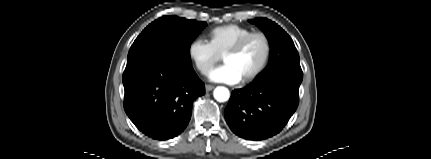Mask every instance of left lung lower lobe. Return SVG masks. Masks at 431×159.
I'll return each instance as SVG.
<instances>
[{
  "label": "left lung lower lobe",
  "mask_w": 431,
  "mask_h": 159,
  "mask_svg": "<svg viewBox=\"0 0 431 159\" xmlns=\"http://www.w3.org/2000/svg\"><path fill=\"white\" fill-rule=\"evenodd\" d=\"M303 73L279 71L232 92L224 111L230 129L246 140L279 133L296 111Z\"/></svg>",
  "instance_id": "left-lung-lower-lobe-1"
}]
</instances>
